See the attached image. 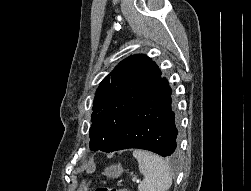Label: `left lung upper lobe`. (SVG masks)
<instances>
[{"label": "left lung upper lobe", "instance_id": "obj_1", "mask_svg": "<svg viewBox=\"0 0 251 191\" xmlns=\"http://www.w3.org/2000/svg\"><path fill=\"white\" fill-rule=\"evenodd\" d=\"M161 77L146 55L120 62L96 91L91 115L90 148L108 152L141 98Z\"/></svg>", "mask_w": 251, "mask_h": 191}]
</instances>
